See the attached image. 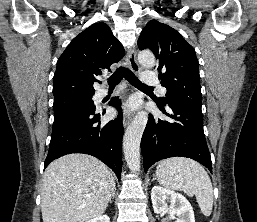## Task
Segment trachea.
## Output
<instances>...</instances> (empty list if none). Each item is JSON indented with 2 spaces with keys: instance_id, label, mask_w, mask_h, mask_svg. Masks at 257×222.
I'll list each match as a JSON object with an SVG mask.
<instances>
[{
  "instance_id": "1",
  "label": "trachea",
  "mask_w": 257,
  "mask_h": 222,
  "mask_svg": "<svg viewBox=\"0 0 257 222\" xmlns=\"http://www.w3.org/2000/svg\"><path fill=\"white\" fill-rule=\"evenodd\" d=\"M125 78L131 85H133L136 88H145V89H150L153 88L151 86H147L145 84H143L136 76L135 74L129 70L126 67H119L115 73H113L109 79H108V84L109 87H114L117 84L120 83V81L122 80V78Z\"/></svg>"
}]
</instances>
